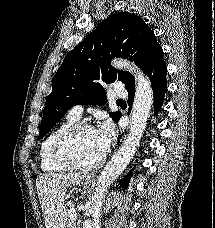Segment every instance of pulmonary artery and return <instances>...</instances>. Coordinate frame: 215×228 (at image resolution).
<instances>
[{"mask_svg":"<svg viewBox=\"0 0 215 228\" xmlns=\"http://www.w3.org/2000/svg\"><path fill=\"white\" fill-rule=\"evenodd\" d=\"M112 95L114 96H128V88L126 84H112ZM83 109L80 105H75L69 110V115L75 119H79L82 116Z\"/></svg>","mask_w":215,"mask_h":228,"instance_id":"e3ab8cb5","label":"pulmonary artery"}]
</instances>
